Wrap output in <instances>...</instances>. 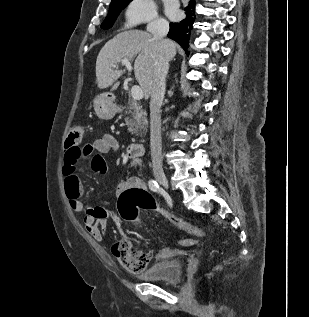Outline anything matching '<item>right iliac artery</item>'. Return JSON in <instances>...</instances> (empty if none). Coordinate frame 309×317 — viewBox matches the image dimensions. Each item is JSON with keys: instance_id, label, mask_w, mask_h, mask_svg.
<instances>
[{"instance_id": "1", "label": "right iliac artery", "mask_w": 309, "mask_h": 317, "mask_svg": "<svg viewBox=\"0 0 309 317\" xmlns=\"http://www.w3.org/2000/svg\"><path fill=\"white\" fill-rule=\"evenodd\" d=\"M148 185L149 188L154 192H158L160 190L158 183L153 179L149 180Z\"/></svg>"}]
</instances>
